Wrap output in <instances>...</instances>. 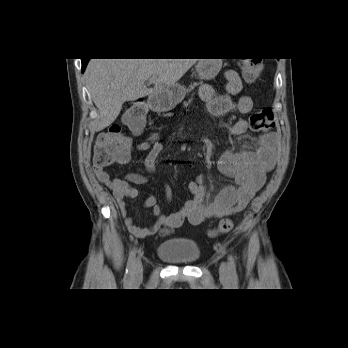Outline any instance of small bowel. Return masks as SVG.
Masks as SVG:
<instances>
[{
	"label": "small bowel",
	"instance_id": "small-bowel-1",
	"mask_svg": "<svg viewBox=\"0 0 348 348\" xmlns=\"http://www.w3.org/2000/svg\"><path fill=\"white\" fill-rule=\"evenodd\" d=\"M241 90L240 76L237 72L230 70L225 73L224 92L219 93L210 84L201 85L199 91L208 112L220 117L233 111L247 114L252 110L253 102L249 96H240L237 100L232 99ZM224 127L231 135H242L248 130L249 125L246 119H239ZM257 143L255 150L227 152L220 157L218 161L220 171L232 178L236 186L224 187L210 203L205 201V178H198L188 186L191 199L180 210L172 214H164L163 207L157 203V196H149L145 201V206L152 209L156 220L147 227L135 224L129 214L126 201L136 198L138 195L133 184L148 182V175L155 170L156 161L162 151V144L158 141H144L135 146L136 151L147 152L145 173H131L123 178H111L104 168L96 165L94 172L98 180L112 190L127 230L135 237H147L157 234L163 228L178 227L185 220L192 225H200L243 210L263 186L267 173L273 169L276 162L277 135L275 133L261 135ZM129 157L130 155L118 163L128 162ZM164 194L167 200L171 199V189L167 185L164 186Z\"/></svg>",
	"mask_w": 348,
	"mask_h": 348
}]
</instances>
